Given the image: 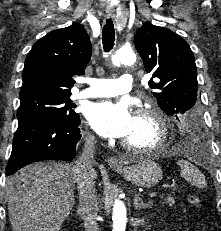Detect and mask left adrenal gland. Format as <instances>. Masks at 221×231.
<instances>
[{
	"label": "left adrenal gland",
	"instance_id": "left-adrenal-gland-1",
	"mask_svg": "<svg viewBox=\"0 0 221 231\" xmlns=\"http://www.w3.org/2000/svg\"><path fill=\"white\" fill-rule=\"evenodd\" d=\"M151 206H152L151 202L144 203L143 201H141V198H140L139 194L135 195V198H134V208L136 210L150 208Z\"/></svg>",
	"mask_w": 221,
	"mask_h": 231
}]
</instances>
